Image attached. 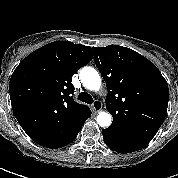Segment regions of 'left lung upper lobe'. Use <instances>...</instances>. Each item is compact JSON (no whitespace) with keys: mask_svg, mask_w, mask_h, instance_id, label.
Masks as SVG:
<instances>
[{"mask_svg":"<svg viewBox=\"0 0 178 178\" xmlns=\"http://www.w3.org/2000/svg\"><path fill=\"white\" fill-rule=\"evenodd\" d=\"M93 51L108 88L105 103L113 123L107 129L131 142L147 145L167 113L166 80L151 61L132 49L108 45L93 47Z\"/></svg>","mask_w":178,"mask_h":178,"instance_id":"obj_1","label":"left lung upper lobe"}]
</instances>
